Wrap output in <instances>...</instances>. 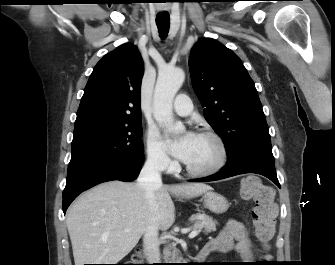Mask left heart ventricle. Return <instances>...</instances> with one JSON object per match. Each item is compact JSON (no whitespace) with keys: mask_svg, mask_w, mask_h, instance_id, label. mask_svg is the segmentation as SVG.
I'll return each mask as SVG.
<instances>
[{"mask_svg":"<svg viewBox=\"0 0 335 265\" xmlns=\"http://www.w3.org/2000/svg\"><path fill=\"white\" fill-rule=\"evenodd\" d=\"M218 156L219 149L216 142L211 138L197 135L185 163L194 169H206L217 161Z\"/></svg>","mask_w":335,"mask_h":265,"instance_id":"1","label":"left heart ventricle"}]
</instances>
